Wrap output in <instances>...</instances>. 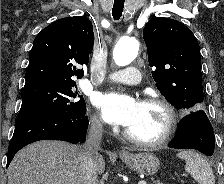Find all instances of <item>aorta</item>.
Returning <instances> with one entry per match:
<instances>
[{
    "label": "aorta",
    "mask_w": 224,
    "mask_h": 184,
    "mask_svg": "<svg viewBox=\"0 0 224 184\" xmlns=\"http://www.w3.org/2000/svg\"><path fill=\"white\" fill-rule=\"evenodd\" d=\"M139 42L134 38H122L113 50V59L118 66L129 65L137 56Z\"/></svg>",
    "instance_id": "1"
}]
</instances>
